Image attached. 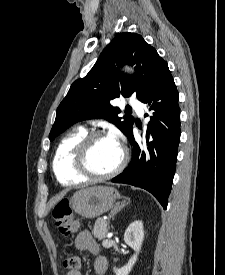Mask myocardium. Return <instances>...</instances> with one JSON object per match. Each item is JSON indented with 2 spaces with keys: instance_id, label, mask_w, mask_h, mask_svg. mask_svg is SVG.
I'll list each match as a JSON object with an SVG mask.
<instances>
[{
  "instance_id": "obj_1",
  "label": "myocardium",
  "mask_w": 225,
  "mask_h": 275,
  "mask_svg": "<svg viewBox=\"0 0 225 275\" xmlns=\"http://www.w3.org/2000/svg\"><path fill=\"white\" fill-rule=\"evenodd\" d=\"M107 137L104 133L100 131H92L86 133L81 140L77 143L73 152L72 166L74 171L84 178L85 180L92 181H102L111 179L121 173L128 162V151L125 146L120 144L121 148V158L116 166L111 172L107 174H95L93 173L87 165V155L92 146V144L100 138Z\"/></svg>"
}]
</instances>
